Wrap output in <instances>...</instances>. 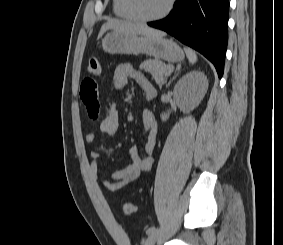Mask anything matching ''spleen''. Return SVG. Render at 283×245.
I'll return each mask as SVG.
<instances>
[{"label": "spleen", "mask_w": 283, "mask_h": 245, "mask_svg": "<svg viewBox=\"0 0 283 245\" xmlns=\"http://www.w3.org/2000/svg\"><path fill=\"white\" fill-rule=\"evenodd\" d=\"M184 50H185V52H186V55H187V58H188L189 62H190L191 64L196 63V61H197V55H196L195 51H193V50L190 49V48H184Z\"/></svg>", "instance_id": "1"}]
</instances>
